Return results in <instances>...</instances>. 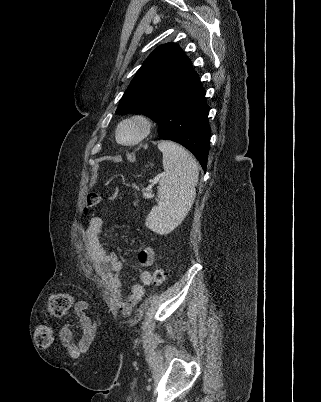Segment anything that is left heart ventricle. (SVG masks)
Wrapping results in <instances>:
<instances>
[{
  "mask_svg": "<svg viewBox=\"0 0 321 402\" xmlns=\"http://www.w3.org/2000/svg\"><path fill=\"white\" fill-rule=\"evenodd\" d=\"M139 129L135 125H126L121 129L120 138L122 141H131L138 135Z\"/></svg>",
  "mask_w": 321,
  "mask_h": 402,
  "instance_id": "left-heart-ventricle-1",
  "label": "left heart ventricle"
}]
</instances>
